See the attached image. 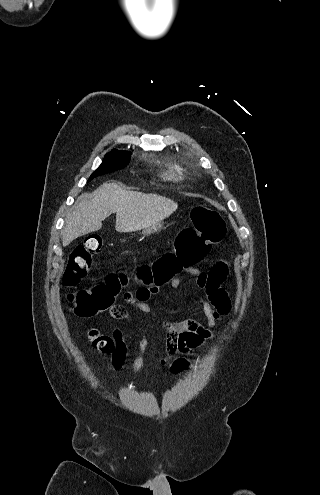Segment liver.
<instances>
[{"label":"liver","mask_w":320,"mask_h":495,"mask_svg":"<svg viewBox=\"0 0 320 495\" xmlns=\"http://www.w3.org/2000/svg\"><path fill=\"white\" fill-rule=\"evenodd\" d=\"M178 207L173 200L157 195L127 191L119 184L104 183L93 197L82 194L70 209L63 228V246L78 237L102 228L104 221L116 213L117 232H134L169 217Z\"/></svg>","instance_id":"1"}]
</instances>
